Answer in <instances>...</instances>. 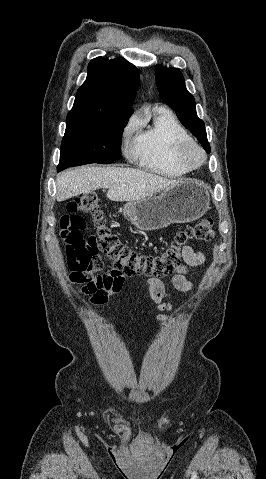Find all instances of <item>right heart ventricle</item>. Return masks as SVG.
Masks as SVG:
<instances>
[{"label":"right heart ventricle","instance_id":"e07e8e85","mask_svg":"<svg viewBox=\"0 0 266 479\" xmlns=\"http://www.w3.org/2000/svg\"><path fill=\"white\" fill-rule=\"evenodd\" d=\"M188 140L191 138L177 118L170 111L160 109L150 128L136 132L128 155L149 172L170 178L180 177L192 171L175 156L177 146Z\"/></svg>","mask_w":266,"mask_h":479}]
</instances>
